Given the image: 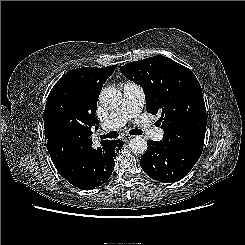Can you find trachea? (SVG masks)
<instances>
[{
  "instance_id": "1",
  "label": "trachea",
  "mask_w": 245,
  "mask_h": 245,
  "mask_svg": "<svg viewBox=\"0 0 245 245\" xmlns=\"http://www.w3.org/2000/svg\"><path fill=\"white\" fill-rule=\"evenodd\" d=\"M129 133L131 135H140V134H142V130H140V129H132V130H130ZM116 137H118V133L115 132V131L109 132V133H107L105 135H100L101 139H106V138L112 139V138H116Z\"/></svg>"
}]
</instances>
